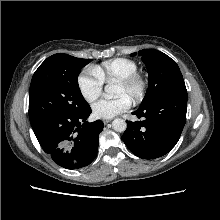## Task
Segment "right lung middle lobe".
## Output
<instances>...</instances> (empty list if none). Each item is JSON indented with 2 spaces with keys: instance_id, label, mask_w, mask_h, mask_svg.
<instances>
[{
  "instance_id": "obj_1",
  "label": "right lung middle lobe",
  "mask_w": 220,
  "mask_h": 220,
  "mask_svg": "<svg viewBox=\"0 0 220 220\" xmlns=\"http://www.w3.org/2000/svg\"><path fill=\"white\" fill-rule=\"evenodd\" d=\"M91 60L58 53L38 67L29 92L32 126L54 115L77 114L89 107L79 89L78 74Z\"/></svg>"
}]
</instances>
